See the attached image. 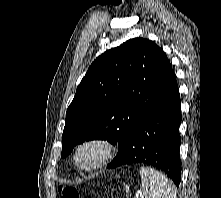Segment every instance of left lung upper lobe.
Listing matches in <instances>:
<instances>
[{
  "instance_id": "5c2ea615",
  "label": "left lung upper lobe",
  "mask_w": 221,
  "mask_h": 198,
  "mask_svg": "<svg viewBox=\"0 0 221 198\" xmlns=\"http://www.w3.org/2000/svg\"><path fill=\"white\" fill-rule=\"evenodd\" d=\"M172 71L163 50L148 39H130L96 58L67 109L61 158L93 139L118 144L120 151Z\"/></svg>"
}]
</instances>
